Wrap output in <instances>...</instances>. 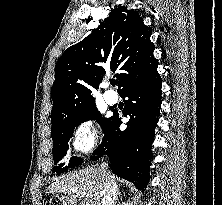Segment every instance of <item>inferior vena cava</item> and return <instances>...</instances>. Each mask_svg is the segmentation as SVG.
Returning a JSON list of instances; mask_svg holds the SVG:
<instances>
[{
    "label": "inferior vena cava",
    "mask_w": 222,
    "mask_h": 205,
    "mask_svg": "<svg viewBox=\"0 0 222 205\" xmlns=\"http://www.w3.org/2000/svg\"><path fill=\"white\" fill-rule=\"evenodd\" d=\"M107 168L108 164L105 162H103L99 168V172L105 180L104 189L100 196V205H114V201L116 200V185L107 178Z\"/></svg>",
    "instance_id": "602c4592"
}]
</instances>
